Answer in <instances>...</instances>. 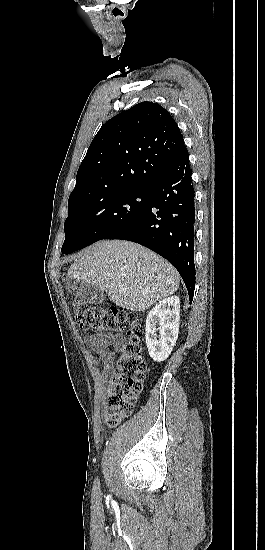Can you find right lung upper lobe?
<instances>
[{
    "label": "right lung upper lobe",
    "mask_w": 265,
    "mask_h": 550,
    "mask_svg": "<svg viewBox=\"0 0 265 550\" xmlns=\"http://www.w3.org/2000/svg\"><path fill=\"white\" fill-rule=\"evenodd\" d=\"M186 151L170 113L157 103L141 102L100 128L78 169L68 203L150 188Z\"/></svg>",
    "instance_id": "1"
}]
</instances>
